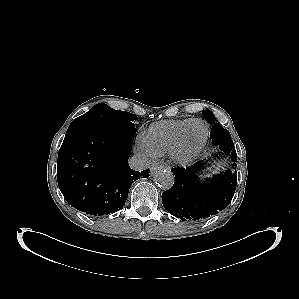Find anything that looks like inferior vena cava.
Masks as SVG:
<instances>
[{"label": "inferior vena cava", "instance_id": "obj_1", "mask_svg": "<svg viewBox=\"0 0 299 299\" xmlns=\"http://www.w3.org/2000/svg\"><path fill=\"white\" fill-rule=\"evenodd\" d=\"M150 164L149 159L146 156L136 154L129 159V166L136 171L145 170Z\"/></svg>", "mask_w": 299, "mask_h": 299}]
</instances>
